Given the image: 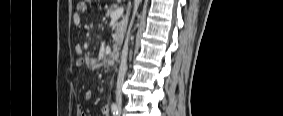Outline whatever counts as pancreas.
Segmentation results:
<instances>
[{
	"instance_id": "cf45deb5",
	"label": "pancreas",
	"mask_w": 283,
	"mask_h": 116,
	"mask_svg": "<svg viewBox=\"0 0 283 116\" xmlns=\"http://www.w3.org/2000/svg\"><path fill=\"white\" fill-rule=\"evenodd\" d=\"M117 8H118L117 5H111L107 10V16H110V14L113 13ZM123 33H124V30L119 29V31L116 35V38L114 39L116 44H120L122 42Z\"/></svg>"
}]
</instances>
